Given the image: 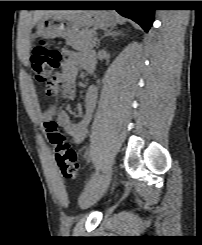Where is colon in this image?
<instances>
[{"instance_id": "obj_1", "label": "colon", "mask_w": 202, "mask_h": 245, "mask_svg": "<svg viewBox=\"0 0 202 245\" xmlns=\"http://www.w3.org/2000/svg\"><path fill=\"white\" fill-rule=\"evenodd\" d=\"M63 55L58 49L49 48L44 42L36 46L31 54V66L34 79L40 84H46L45 96L52 97L57 88L52 81L54 71L62 62ZM56 157L60 172L65 178H74L79 174L77 154L68 146L65 136L59 131L56 120L49 119L44 123Z\"/></svg>"}]
</instances>
